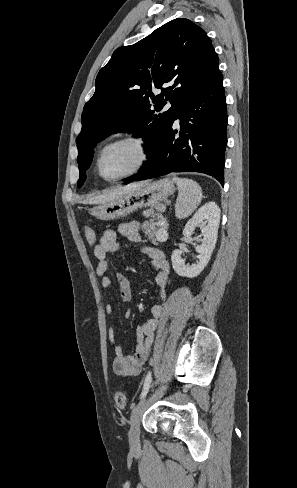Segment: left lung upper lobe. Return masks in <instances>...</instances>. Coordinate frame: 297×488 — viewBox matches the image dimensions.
<instances>
[{
  "instance_id": "1",
  "label": "left lung upper lobe",
  "mask_w": 297,
  "mask_h": 488,
  "mask_svg": "<svg viewBox=\"0 0 297 488\" xmlns=\"http://www.w3.org/2000/svg\"><path fill=\"white\" fill-rule=\"evenodd\" d=\"M219 73L210 38L188 19H174L136 44L116 49L99 71L95 93L83 109L76 138L78 186L86 179L94 147L112 133L143 137L151 157L141 169L147 166L184 105ZM156 88L162 90L157 96L152 92ZM166 101L171 108L158 114Z\"/></svg>"
}]
</instances>
